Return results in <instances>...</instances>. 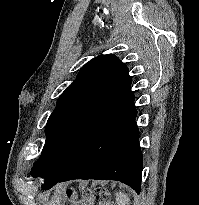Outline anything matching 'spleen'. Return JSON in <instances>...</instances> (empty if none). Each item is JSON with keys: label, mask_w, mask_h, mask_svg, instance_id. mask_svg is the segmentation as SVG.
<instances>
[{"label": "spleen", "mask_w": 199, "mask_h": 205, "mask_svg": "<svg viewBox=\"0 0 199 205\" xmlns=\"http://www.w3.org/2000/svg\"><path fill=\"white\" fill-rule=\"evenodd\" d=\"M116 204L117 205H130L129 196L121 191L116 193Z\"/></svg>", "instance_id": "obj_1"}]
</instances>
